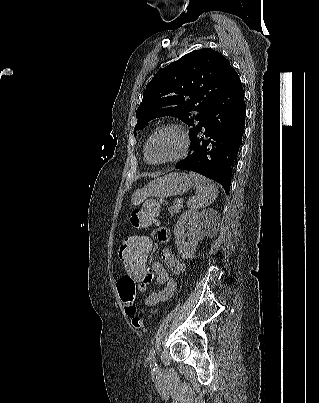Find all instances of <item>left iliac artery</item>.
I'll list each match as a JSON object with an SVG mask.
<instances>
[{
  "mask_svg": "<svg viewBox=\"0 0 319 403\" xmlns=\"http://www.w3.org/2000/svg\"><path fill=\"white\" fill-rule=\"evenodd\" d=\"M149 361H150V367L151 369H157V363H156V358H155V348L152 347L149 353Z\"/></svg>",
  "mask_w": 319,
  "mask_h": 403,
  "instance_id": "obj_1",
  "label": "left iliac artery"
}]
</instances>
